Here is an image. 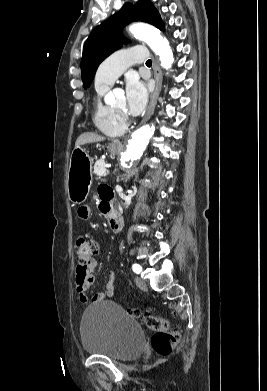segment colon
Returning a JSON list of instances; mask_svg holds the SVG:
<instances>
[{
	"label": "colon",
	"instance_id": "1",
	"mask_svg": "<svg viewBox=\"0 0 267 391\" xmlns=\"http://www.w3.org/2000/svg\"><path fill=\"white\" fill-rule=\"evenodd\" d=\"M73 247L76 253L77 269L82 272L89 271L99 250L97 241L88 237H78ZM128 314L138 319L152 333V347L157 355L166 356L173 351L180 340V332L170 329L167 318L151 313L143 314L138 309H130Z\"/></svg>",
	"mask_w": 267,
	"mask_h": 391
}]
</instances>
